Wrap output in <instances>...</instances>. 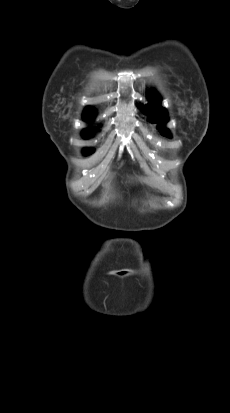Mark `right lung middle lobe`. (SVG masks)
Listing matches in <instances>:
<instances>
[{
	"instance_id": "right-lung-middle-lobe-1",
	"label": "right lung middle lobe",
	"mask_w": 230,
	"mask_h": 413,
	"mask_svg": "<svg viewBox=\"0 0 230 413\" xmlns=\"http://www.w3.org/2000/svg\"><path fill=\"white\" fill-rule=\"evenodd\" d=\"M83 135H84L85 138L92 136L91 130H86L83 133ZM93 151H94L93 149L88 148V149L84 150V153L87 155V154H91Z\"/></svg>"
}]
</instances>
